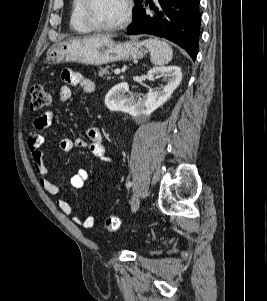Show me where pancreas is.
Listing matches in <instances>:
<instances>
[{"label": "pancreas", "instance_id": "cf45deb5", "mask_svg": "<svg viewBox=\"0 0 267 301\" xmlns=\"http://www.w3.org/2000/svg\"><path fill=\"white\" fill-rule=\"evenodd\" d=\"M110 66H106L105 68H100L99 71H98V75L101 77V78H107L108 80L111 79L110 77Z\"/></svg>", "mask_w": 267, "mask_h": 301}]
</instances>
